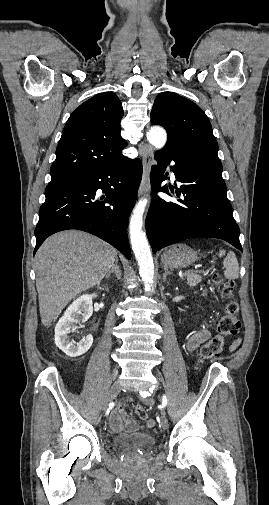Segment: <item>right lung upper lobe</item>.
I'll return each mask as SVG.
<instances>
[{"label": "right lung upper lobe", "instance_id": "right-lung-upper-lobe-1", "mask_svg": "<svg viewBox=\"0 0 269 505\" xmlns=\"http://www.w3.org/2000/svg\"><path fill=\"white\" fill-rule=\"evenodd\" d=\"M123 108L111 92L100 93L70 115L56 149L50 174L54 184L81 176L121 157L127 142L121 137Z\"/></svg>", "mask_w": 269, "mask_h": 505}]
</instances>
